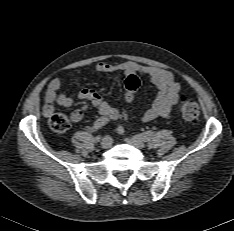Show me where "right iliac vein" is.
Returning <instances> with one entry per match:
<instances>
[{"label": "right iliac vein", "mask_w": 234, "mask_h": 231, "mask_svg": "<svg viewBox=\"0 0 234 231\" xmlns=\"http://www.w3.org/2000/svg\"><path fill=\"white\" fill-rule=\"evenodd\" d=\"M113 139L110 136H105L101 141V147L103 149H108L112 146Z\"/></svg>", "instance_id": "63e3f726"}]
</instances>
